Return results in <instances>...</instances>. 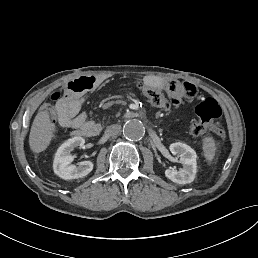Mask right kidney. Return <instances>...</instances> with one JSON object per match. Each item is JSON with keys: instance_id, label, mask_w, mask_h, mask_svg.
<instances>
[{"instance_id": "right-kidney-1", "label": "right kidney", "mask_w": 258, "mask_h": 258, "mask_svg": "<svg viewBox=\"0 0 258 258\" xmlns=\"http://www.w3.org/2000/svg\"><path fill=\"white\" fill-rule=\"evenodd\" d=\"M85 139L81 136H76L65 141L56 151L54 156L53 169L54 172L61 178L75 179L86 176L91 172L93 163L90 161H81L78 167L70 165L73 156L70 153L75 147H83Z\"/></svg>"}]
</instances>
